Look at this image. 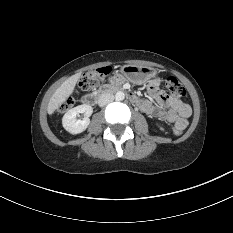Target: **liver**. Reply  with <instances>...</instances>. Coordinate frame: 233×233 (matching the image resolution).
I'll return each instance as SVG.
<instances>
[{
	"instance_id": "obj_1",
	"label": "liver",
	"mask_w": 233,
	"mask_h": 233,
	"mask_svg": "<svg viewBox=\"0 0 233 233\" xmlns=\"http://www.w3.org/2000/svg\"><path fill=\"white\" fill-rule=\"evenodd\" d=\"M81 74L77 73L70 76L65 80L54 92L49 100L47 106V112L49 115L53 114L56 109L61 106L66 99L73 93L77 81L79 80Z\"/></svg>"
}]
</instances>
